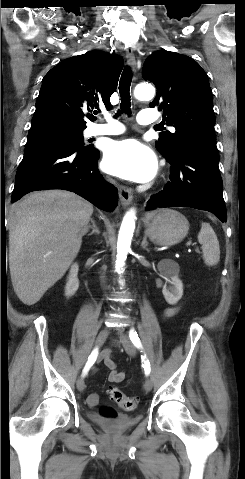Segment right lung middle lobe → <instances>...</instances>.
<instances>
[{
  "instance_id": "obj_1",
  "label": "right lung middle lobe",
  "mask_w": 245,
  "mask_h": 479,
  "mask_svg": "<svg viewBox=\"0 0 245 479\" xmlns=\"http://www.w3.org/2000/svg\"><path fill=\"white\" fill-rule=\"evenodd\" d=\"M83 130L84 129H72L64 126L30 130L25 151L54 141H68L83 147Z\"/></svg>"
}]
</instances>
